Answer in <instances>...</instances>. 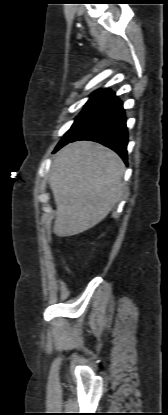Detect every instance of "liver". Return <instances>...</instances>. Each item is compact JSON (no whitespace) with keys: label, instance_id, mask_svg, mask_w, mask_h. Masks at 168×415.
<instances>
[{"label":"liver","instance_id":"1","mask_svg":"<svg viewBox=\"0 0 168 415\" xmlns=\"http://www.w3.org/2000/svg\"><path fill=\"white\" fill-rule=\"evenodd\" d=\"M124 172L122 159L95 142L78 141L58 151L49 179L54 234L77 235L101 222L120 199Z\"/></svg>","mask_w":168,"mask_h":415}]
</instances>
